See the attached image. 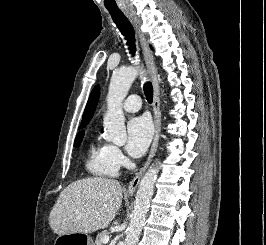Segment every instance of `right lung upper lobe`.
<instances>
[{"label": "right lung upper lobe", "instance_id": "right-lung-upper-lobe-1", "mask_svg": "<svg viewBox=\"0 0 266 245\" xmlns=\"http://www.w3.org/2000/svg\"><path fill=\"white\" fill-rule=\"evenodd\" d=\"M99 95H100V89H99V86L97 85L94 87V89L92 90L90 94L89 100L87 102V105H86V108L83 114L81 125H87L88 122L91 120L94 114V111L96 109V106H97Z\"/></svg>", "mask_w": 266, "mask_h": 245}]
</instances>
